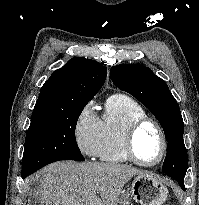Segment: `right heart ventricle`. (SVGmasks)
Segmentation results:
<instances>
[{
  "label": "right heart ventricle",
  "mask_w": 199,
  "mask_h": 205,
  "mask_svg": "<svg viewBox=\"0 0 199 205\" xmlns=\"http://www.w3.org/2000/svg\"><path fill=\"white\" fill-rule=\"evenodd\" d=\"M146 117L141 105L124 94H113L105 102L99 122L97 156L102 162L111 164L128 163L123 142L129 125Z\"/></svg>",
  "instance_id": "1"
}]
</instances>
